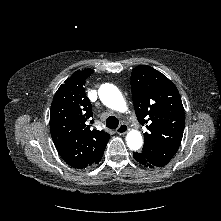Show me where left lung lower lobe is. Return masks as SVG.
Wrapping results in <instances>:
<instances>
[{
    "label": "left lung lower lobe",
    "mask_w": 221,
    "mask_h": 221,
    "mask_svg": "<svg viewBox=\"0 0 221 221\" xmlns=\"http://www.w3.org/2000/svg\"><path fill=\"white\" fill-rule=\"evenodd\" d=\"M133 157L136 161H138L139 163H141L145 167H150V168L155 167V165L150 163L141 153H137V152L133 153Z\"/></svg>",
    "instance_id": "left-lung-lower-lobe-1"
}]
</instances>
